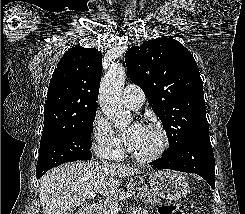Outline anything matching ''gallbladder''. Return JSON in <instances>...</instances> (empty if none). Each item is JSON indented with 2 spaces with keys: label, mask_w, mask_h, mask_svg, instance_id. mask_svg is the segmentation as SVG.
Returning <instances> with one entry per match:
<instances>
[{
  "label": "gallbladder",
  "mask_w": 245,
  "mask_h": 214,
  "mask_svg": "<svg viewBox=\"0 0 245 214\" xmlns=\"http://www.w3.org/2000/svg\"><path fill=\"white\" fill-rule=\"evenodd\" d=\"M63 214H74V211L72 208H70V209H67L66 211H64Z\"/></svg>",
  "instance_id": "bac80fb5"
}]
</instances>
